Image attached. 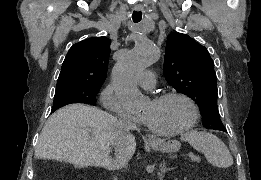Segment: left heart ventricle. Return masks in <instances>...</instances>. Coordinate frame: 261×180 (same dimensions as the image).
<instances>
[{"label": "left heart ventricle", "instance_id": "obj_1", "mask_svg": "<svg viewBox=\"0 0 261 180\" xmlns=\"http://www.w3.org/2000/svg\"><path fill=\"white\" fill-rule=\"evenodd\" d=\"M149 131L159 137L180 132L190 118L189 105L179 97L154 101L150 97L136 115Z\"/></svg>", "mask_w": 261, "mask_h": 180}]
</instances>
